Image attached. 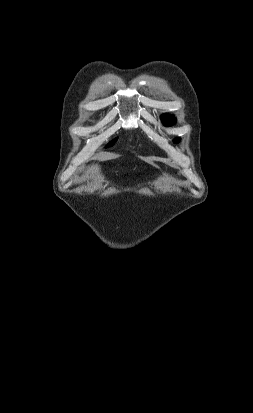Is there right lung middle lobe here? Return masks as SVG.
I'll return each instance as SVG.
<instances>
[{
    "instance_id": "right-lung-middle-lobe-1",
    "label": "right lung middle lobe",
    "mask_w": 253,
    "mask_h": 413,
    "mask_svg": "<svg viewBox=\"0 0 253 413\" xmlns=\"http://www.w3.org/2000/svg\"><path fill=\"white\" fill-rule=\"evenodd\" d=\"M113 144V142L112 143H110L109 145L111 146Z\"/></svg>"
}]
</instances>
